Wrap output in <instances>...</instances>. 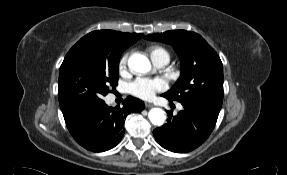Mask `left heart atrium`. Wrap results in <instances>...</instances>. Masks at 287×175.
I'll use <instances>...</instances> for the list:
<instances>
[{
  "mask_svg": "<svg viewBox=\"0 0 287 175\" xmlns=\"http://www.w3.org/2000/svg\"><path fill=\"white\" fill-rule=\"evenodd\" d=\"M165 89L166 83L159 77H138L129 84V92L140 99H150Z\"/></svg>",
  "mask_w": 287,
  "mask_h": 175,
  "instance_id": "left-heart-atrium-1",
  "label": "left heart atrium"
}]
</instances>
